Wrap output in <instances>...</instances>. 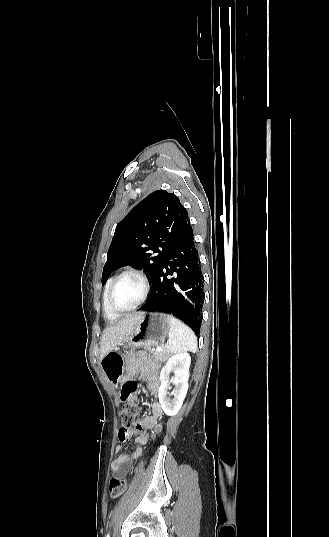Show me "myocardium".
Segmentation results:
<instances>
[{"label":"myocardium","mask_w":329,"mask_h":537,"mask_svg":"<svg viewBox=\"0 0 329 537\" xmlns=\"http://www.w3.org/2000/svg\"><path fill=\"white\" fill-rule=\"evenodd\" d=\"M128 275H133V276H136L140 279V281L142 282L143 284V294L141 296V298L139 299V301L133 305L132 307L128 308V309H119L117 308L114 303H113V293H114V290L117 286V284L119 283V281L125 277V276H128ZM149 290H150V281L147 277V275L139 270V269H135V268H130V269H126L124 271H122L120 274H118L112 281L110 287H109V291H108V295H107V303H108V306L109 308L117 313V314H124V313H127V312H130L136 308H138L147 298L148 296V293H149Z\"/></svg>","instance_id":"myocardium-1"}]
</instances>
